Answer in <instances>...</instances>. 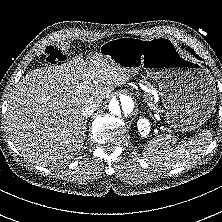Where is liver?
Returning <instances> with one entry per match:
<instances>
[{
  "label": "liver",
  "mask_w": 222,
  "mask_h": 222,
  "mask_svg": "<svg viewBox=\"0 0 222 222\" xmlns=\"http://www.w3.org/2000/svg\"><path fill=\"white\" fill-rule=\"evenodd\" d=\"M129 74L99 53L89 61L80 54L62 65L29 72L8 100L6 123L15 146L42 166L72 160L85 140L84 104L93 100L100 105Z\"/></svg>",
  "instance_id": "1"
}]
</instances>
